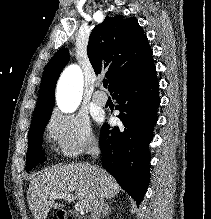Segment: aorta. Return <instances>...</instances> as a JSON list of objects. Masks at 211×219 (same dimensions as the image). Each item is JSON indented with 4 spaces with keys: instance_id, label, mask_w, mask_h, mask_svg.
Segmentation results:
<instances>
[{
    "instance_id": "obj_1",
    "label": "aorta",
    "mask_w": 211,
    "mask_h": 219,
    "mask_svg": "<svg viewBox=\"0 0 211 219\" xmlns=\"http://www.w3.org/2000/svg\"><path fill=\"white\" fill-rule=\"evenodd\" d=\"M83 90V75L77 65L68 66L57 85V105L61 111L70 113L78 107Z\"/></svg>"
}]
</instances>
